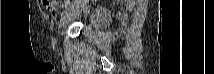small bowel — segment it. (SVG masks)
I'll return each instance as SVG.
<instances>
[{"instance_id":"1","label":"small bowel","mask_w":214,"mask_h":74,"mask_svg":"<svg viewBox=\"0 0 214 74\" xmlns=\"http://www.w3.org/2000/svg\"><path fill=\"white\" fill-rule=\"evenodd\" d=\"M54 3H55L54 1L45 2V6L48 9L52 8V15L56 16L58 14V10L54 8L56 6Z\"/></svg>"}]
</instances>
